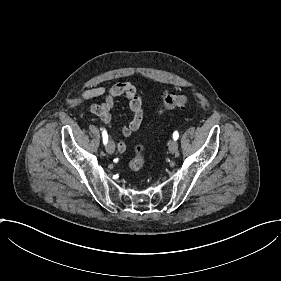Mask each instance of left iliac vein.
I'll use <instances>...</instances> for the list:
<instances>
[{
	"mask_svg": "<svg viewBox=\"0 0 281 281\" xmlns=\"http://www.w3.org/2000/svg\"><path fill=\"white\" fill-rule=\"evenodd\" d=\"M168 145H169L170 151L175 152V151H177L178 145H179V144H178L177 141H175V140L173 141V140H172V141L169 142Z\"/></svg>",
	"mask_w": 281,
	"mask_h": 281,
	"instance_id": "4c4485c4",
	"label": "left iliac vein"
}]
</instances>
